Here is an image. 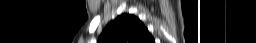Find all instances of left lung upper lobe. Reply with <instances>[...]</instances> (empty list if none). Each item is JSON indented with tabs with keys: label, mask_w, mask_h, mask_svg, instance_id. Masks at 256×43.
<instances>
[{
	"label": "left lung upper lobe",
	"mask_w": 256,
	"mask_h": 43,
	"mask_svg": "<svg viewBox=\"0 0 256 43\" xmlns=\"http://www.w3.org/2000/svg\"><path fill=\"white\" fill-rule=\"evenodd\" d=\"M97 43H155V41L138 17L122 14L106 26Z\"/></svg>",
	"instance_id": "1"
}]
</instances>
